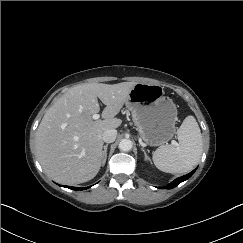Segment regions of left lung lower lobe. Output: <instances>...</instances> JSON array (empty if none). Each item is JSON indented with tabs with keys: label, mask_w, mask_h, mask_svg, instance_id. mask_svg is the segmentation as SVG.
Instances as JSON below:
<instances>
[{
	"label": "left lung lower lobe",
	"mask_w": 243,
	"mask_h": 243,
	"mask_svg": "<svg viewBox=\"0 0 243 243\" xmlns=\"http://www.w3.org/2000/svg\"><path fill=\"white\" fill-rule=\"evenodd\" d=\"M196 169H197V168H196ZM196 169H194L192 172H190V173L187 174V175H184V176H182V177H179V178L175 179L173 182H171L170 184H168L165 188H167V189H172V188L176 187V186L179 185L181 182H183V181L189 179V178L193 175V173L196 171Z\"/></svg>",
	"instance_id": "1"
}]
</instances>
